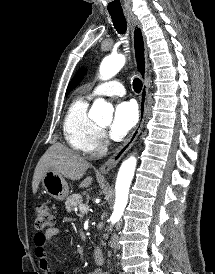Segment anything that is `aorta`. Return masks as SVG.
I'll return each mask as SVG.
<instances>
[{
	"instance_id": "aorta-1",
	"label": "aorta",
	"mask_w": 215,
	"mask_h": 274,
	"mask_svg": "<svg viewBox=\"0 0 215 274\" xmlns=\"http://www.w3.org/2000/svg\"><path fill=\"white\" fill-rule=\"evenodd\" d=\"M125 64V57L122 54H112L106 56L100 65V75L103 80H108L116 75ZM113 107L104 99H96L89 111V117L93 120H101L105 123L112 121ZM137 160L134 156L126 159L118 172L115 193L116 199L114 210L110 221L115 223L123 215L128 202L129 188L134 177Z\"/></svg>"
}]
</instances>
